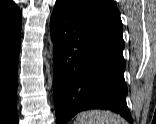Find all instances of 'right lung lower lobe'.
<instances>
[{
    "label": "right lung lower lobe",
    "instance_id": "obj_1",
    "mask_svg": "<svg viewBox=\"0 0 156 124\" xmlns=\"http://www.w3.org/2000/svg\"><path fill=\"white\" fill-rule=\"evenodd\" d=\"M21 26L0 30V124H19L17 101V68Z\"/></svg>",
    "mask_w": 156,
    "mask_h": 124
}]
</instances>
